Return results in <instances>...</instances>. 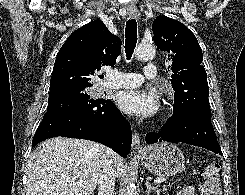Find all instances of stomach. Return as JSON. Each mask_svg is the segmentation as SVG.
<instances>
[{
  "mask_svg": "<svg viewBox=\"0 0 245 195\" xmlns=\"http://www.w3.org/2000/svg\"><path fill=\"white\" fill-rule=\"evenodd\" d=\"M137 156L147 170L160 177L173 176L185 167L183 152L168 142L147 146Z\"/></svg>",
  "mask_w": 245,
  "mask_h": 195,
  "instance_id": "obj_1",
  "label": "stomach"
}]
</instances>
